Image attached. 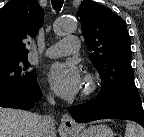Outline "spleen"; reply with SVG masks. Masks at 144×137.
<instances>
[{
	"label": "spleen",
	"instance_id": "1",
	"mask_svg": "<svg viewBox=\"0 0 144 137\" xmlns=\"http://www.w3.org/2000/svg\"><path fill=\"white\" fill-rule=\"evenodd\" d=\"M124 137H144V131L134 123L128 122Z\"/></svg>",
	"mask_w": 144,
	"mask_h": 137
}]
</instances>
